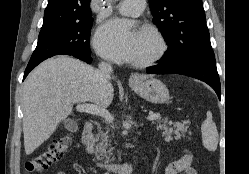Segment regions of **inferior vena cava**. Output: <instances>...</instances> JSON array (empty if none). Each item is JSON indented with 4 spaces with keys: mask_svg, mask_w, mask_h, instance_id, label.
Returning a JSON list of instances; mask_svg holds the SVG:
<instances>
[{
    "mask_svg": "<svg viewBox=\"0 0 249 174\" xmlns=\"http://www.w3.org/2000/svg\"><path fill=\"white\" fill-rule=\"evenodd\" d=\"M99 69L96 71L97 78L100 83L106 85L111 79L112 67L109 63L101 62L98 65Z\"/></svg>",
    "mask_w": 249,
    "mask_h": 174,
    "instance_id": "inferior-vena-cava-1",
    "label": "inferior vena cava"
}]
</instances>
